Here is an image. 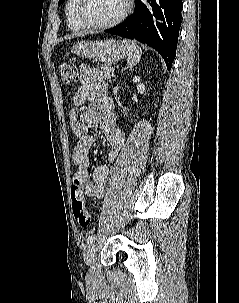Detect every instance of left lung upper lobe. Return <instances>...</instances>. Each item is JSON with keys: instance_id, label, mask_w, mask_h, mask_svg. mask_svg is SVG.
I'll list each match as a JSON object with an SVG mask.
<instances>
[{"instance_id": "obj_1", "label": "left lung upper lobe", "mask_w": 239, "mask_h": 303, "mask_svg": "<svg viewBox=\"0 0 239 303\" xmlns=\"http://www.w3.org/2000/svg\"><path fill=\"white\" fill-rule=\"evenodd\" d=\"M65 0H59L58 5H60L61 3H63Z\"/></svg>"}]
</instances>
